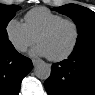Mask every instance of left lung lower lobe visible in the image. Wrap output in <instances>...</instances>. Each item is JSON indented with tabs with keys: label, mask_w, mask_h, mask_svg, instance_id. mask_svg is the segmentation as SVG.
I'll list each match as a JSON object with an SVG mask.
<instances>
[{
	"label": "left lung lower lobe",
	"mask_w": 95,
	"mask_h": 95,
	"mask_svg": "<svg viewBox=\"0 0 95 95\" xmlns=\"http://www.w3.org/2000/svg\"><path fill=\"white\" fill-rule=\"evenodd\" d=\"M44 86L49 95H95V41L53 64Z\"/></svg>",
	"instance_id": "left-lung-lower-lobe-1"
}]
</instances>
